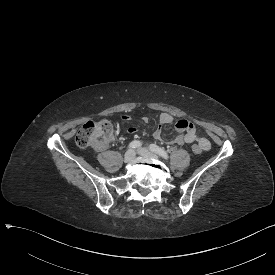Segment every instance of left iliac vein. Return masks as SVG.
I'll use <instances>...</instances> for the list:
<instances>
[{"label":"left iliac vein","mask_w":275,"mask_h":275,"mask_svg":"<svg viewBox=\"0 0 275 275\" xmlns=\"http://www.w3.org/2000/svg\"><path fill=\"white\" fill-rule=\"evenodd\" d=\"M137 153L140 154L141 156L147 157V158H151V159H156L157 155L152 153L149 149L147 148H139L137 150Z\"/></svg>","instance_id":"1"}]
</instances>
